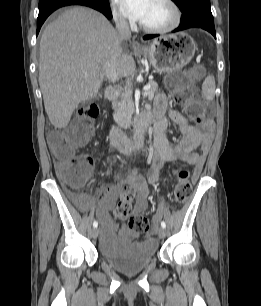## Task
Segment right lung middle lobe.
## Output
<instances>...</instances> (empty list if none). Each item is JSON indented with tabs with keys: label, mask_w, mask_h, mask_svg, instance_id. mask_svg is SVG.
I'll list each match as a JSON object with an SVG mask.
<instances>
[{
	"label": "right lung middle lobe",
	"mask_w": 261,
	"mask_h": 306,
	"mask_svg": "<svg viewBox=\"0 0 261 306\" xmlns=\"http://www.w3.org/2000/svg\"><path fill=\"white\" fill-rule=\"evenodd\" d=\"M99 2H104V3H108V0H97Z\"/></svg>",
	"instance_id": "right-lung-middle-lobe-1"
}]
</instances>
